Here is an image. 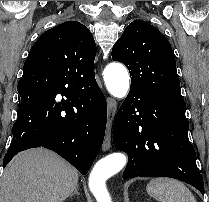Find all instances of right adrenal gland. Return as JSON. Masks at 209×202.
I'll return each mask as SVG.
<instances>
[{
  "instance_id": "obj_1",
  "label": "right adrenal gland",
  "mask_w": 209,
  "mask_h": 202,
  "mask_svg": "<svg viewBox=\"0 0 209 202\" xmlns=\"http://www.w3.org/2000/svg\"><path fill=\"white\" fill-rule=\"evenodd\" d=\"M74 195H79L78 187L75 189V191L70 195V197H73Z\"/></svg>"
}]
</instances>
